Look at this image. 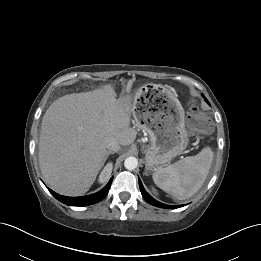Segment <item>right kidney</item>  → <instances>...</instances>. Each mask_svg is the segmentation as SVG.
<instances>
[{"mask_svg": "<svg viewBox=\"0 0 261 261\" xmlns=\"http://www.w3.org/2000/svg\"><path fill=\"white\" fill-rule=\"evenodd\" d=\"M113 169L112 163H108L104 169L102 170L100 176H99V182L103 183L105 182L111 175Z\"/></svg>", "mask_w": 261, "mask_h": 261, "instance_id": "ca27d5eb", "label": "right kidney"}]
</instances>
